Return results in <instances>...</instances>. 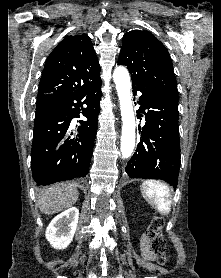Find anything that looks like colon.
I'll return each mask as SVG.
<instances>
[{"instance_id":"obj_1","label":"colon","mask_w":221,"mask_h":278,"mask_svg":"<svg viewBox=\"0 0 221 278\" xmlns=\"http://www.w3.org/2000/svg\"><path fill=\"white\" fill-rule=\"evenodd\" d=\"M163 225V219L161 217H155L147 229L149 250L160 264L167 262L166 242L162 235Z\"/></svg>"}]
</instances>
